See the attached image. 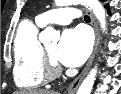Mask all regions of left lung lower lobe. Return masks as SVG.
I'll use <instances>...</instances> for the list:
<instances>
[{
	"label": "left lung lower lobe",
	"mask_w": 121,
	"mask_h": 94,
	"mask_svg": "<svg viewBox=\"0 0 121 94\" xmlns=\"http://www.w3.org/2000/svg\"><path fill=\"white\" fill-rule=\"evenodd\" d=\"M105 7L107 8V10H109V7H108V5H107V4L105 5Z\"/></svg>",
	"instance_id": "left-lung-lower-lobe-1"
}]
</instances>
